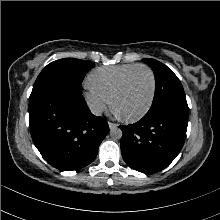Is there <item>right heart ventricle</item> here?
Wrapping results in <instances>:
<instances>
[{
  "label": "right heart ventricle",
  "instance_id": "right-heart-ventricle-1",
  "mask_svg": "<svg viewBox=\"0 0 220 220\" xmlns=\"http://www.w3.org/2000/svg\"><path fill=\"white\" fill-rule=\"evenodd\" d=\"M137 64H122L115 66L98 67L87 78L88 85L111 99V96L124 75Z\"/></svg>",
  "mask_w": 220,
  "mask_h": 220
}]
</instances>
